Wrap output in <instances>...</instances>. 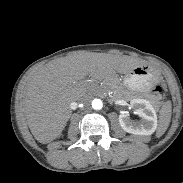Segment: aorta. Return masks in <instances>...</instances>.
Returning <instances> with one entry per match:
<instances>
[{
	"label": "aorta",
	"instance_id": "obj_1",
	"mask_svg": "<svg viewBox=\"0 0 183 183\" xmlns=\"http://www.w3.org/2000/svg\"><path fill=\"white\" fill-rule=\"evenodd\" d=\"M103 107V103L100 99H94L92 101V108L95 110H100Z\"/></svg>",
	"mask_w": 183,
	"mask_h": 183
}]
</instances>
